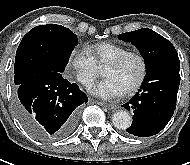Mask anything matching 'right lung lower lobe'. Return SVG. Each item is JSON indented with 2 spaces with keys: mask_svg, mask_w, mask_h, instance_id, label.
I'll return each mask as SVG.
<instances>
[{
  "mask_svg": "<svg viewBox=\"0 0 190 165\" xmlns=\"http://www.w3.org/2000/svg\"><path fill=\"white\" fill-rule=\"evenodd\" d=\"M88 97L60 72L33 75L17 88L15 109L24 127L37 139H61L76 127L79 106Z\"/></svg>",
  "mask_w": 190,
  "mask_h": 165,
  "instance_id": "1",
  "label": "right lung lower lobe"
}]
</instances>
